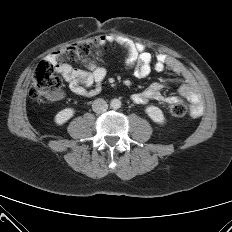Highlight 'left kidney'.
<instances>
[{"instance_id": "1", "label": "left kidney", "mask_w": 232, "mask_h": 232, "mask_svg": "<svg viewBox=\"0 0 232 232\" xmlns=\"http://www.w3.org/2000/svg\"><path fill=\"white\" fill-rule=\"evenodd\" d=\"M145 112L155 123H158L161 125L165 123V117L160 108L151 105V106L146 107Z\"/></svg>"}]
</instances>
